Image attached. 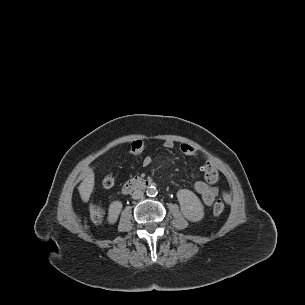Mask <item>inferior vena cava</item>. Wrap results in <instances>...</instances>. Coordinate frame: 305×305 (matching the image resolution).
<instances>
[{
    "instance_id": "obj_1",
    "label": "inferior vena cava",
    "mask_w": 305,
    "mask_h": 305,
    "mask_svg": "<svg viewBox=\"0 0 305 305\" xmlns=\"http://www.w3.org/2000/svg\"><path fill=\"white\" fill-rule=\"evenodd\" d=\"M143 195H144L143 191L140 190V189H137V190H135V191L133 192L132 198L135 199V200H137V199L142 198Z\"/></svg>"
}]
</instances>
